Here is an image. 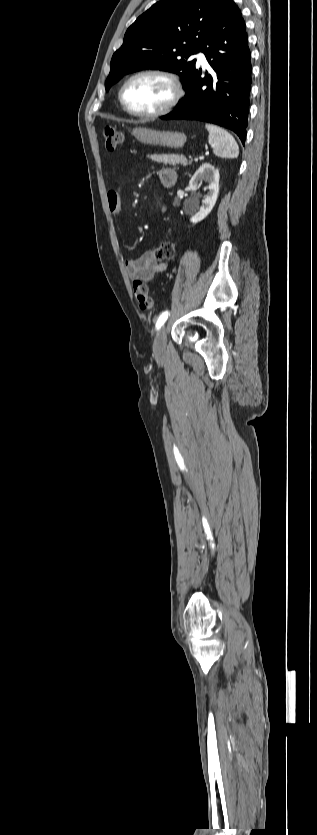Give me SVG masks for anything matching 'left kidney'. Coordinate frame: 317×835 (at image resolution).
Returning <instances> with one entry per match:
<instances>
[{
    "label": "left kidney",
    "mask_w": 317,
    "mask_h": 835,
    "mask_svg": "<svg viewBox=\"0 0 317 835\" xmlns=\"http://www.w3.org/2000/svg\"><path fill=\"white\" fill-rule=\"evenodd\" d=\"M219 178V170L210 163L202 164L192 176L189 181V187L192 190L197 189L202 184V181L208 183L207 187L204 188L208 192L202 199V206L199 211L191 217L190 221L192 223L195 224L202 221L212 211L219 194Z\"/></svg>",
    "instance_id": "1"
}]
</instances>
